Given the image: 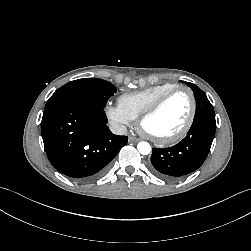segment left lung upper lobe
Returning a JSON list of instances; mask_svg holds the SVG:
<instances>
[{
	"instance_id": "5c2ea615",
	"label": "left lung upper lobe",
	"mask_w": 251,
	"mask_h": 251,
	"mask_svg": "<svg viewBox=\"0 0 251 251\" xmlns=\"http://www.w3.org/2000/svg\"><path fill=\"white\" fill-rule=\"evenodd\" d=\"M189 86L192 88L193 92L196 96L197 101V108L194 118H198L200 116H215L213 107L211 103L209 102L206 94L195 84L188 83Z\"/></svg>"
}]
</instances>
